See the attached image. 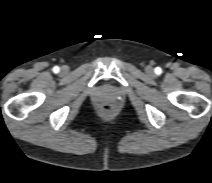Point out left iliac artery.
I'll return each mask as SVG.
<instances>
[{
  "mask_svg": "<svg viewBox=\"0 0 212 183\" xmlns=\"http://www.w3.org/2000/svg\"><path fill=\"white\" fill-rule=\"evenodd\" d=\"M155 71H156L157 74H160V73L162 72L161 68H159V67H157V68L155 69Z\"/></svg>",
  "mask_w": 212,
  "mask_h": 183,
  "instance_id": "left-iliac-artery-1",
  "label": "left iliac artery"
}]
</instances>
